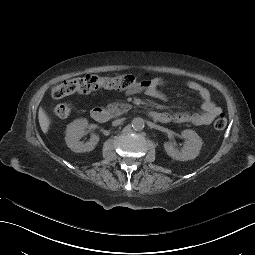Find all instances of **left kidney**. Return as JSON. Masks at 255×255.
I'll use <instances>...</instances> for the list:
<instances>
[{
  "instance_id": "1",
  "label": "left kidney",
  "mask_w": 255,
  "mask_h": 255,
  "mask_svg": "<svg viewBox=\"0 0 255 255\" xmlns=\"http://www.w3.org/2000/svg\"><path fill=\"white\" fill-rule=\"evenodd\" d=\"M181 136L187 139V142L183 145L182 152H177L174 148L175 143L165 142L163 147L169 157L177 161H191L195 159L202 147V139L192 130H184L181 132Z\"/></svg>"
}]
</instances>
